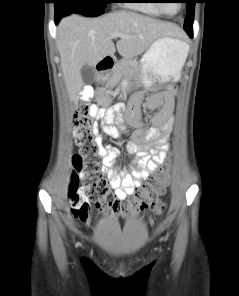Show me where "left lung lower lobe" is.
Returning <instances> with one entry per match:
<instances>
[{"label": "left lung lower lobe", "mask_w": 239, "mask_h": 296, "mask_svg": "<svg viewBox=\"0 0 239 296\" xmlns=\"http://www.w3.org/2000/svg\"><path fill=\"white\" fill-rule=\"evenodd\" d=\"M187 34L190 36V38H193V27H184Z\"/></svg>", "instance_id": "left-lung-lower-lobe-1"}]
</instances>
